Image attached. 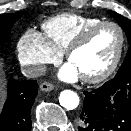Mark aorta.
Instances as JSON below:
<instances>
[{"mask_svg": "<svg viewBox=\"0 0 131 131\" xmlns=\"http://www.w3.org/2000/svg\"><path fill=\"white\" fill-rule=\"evenodd\" d=\"M59 103L67 110H74L79 105V96L72 90H64L60 93Z\"/></svg>", "mask_w": 131, "mask_h": 131, "instance_id": "aorta-1", "label": "aorta"}]
</instances>
